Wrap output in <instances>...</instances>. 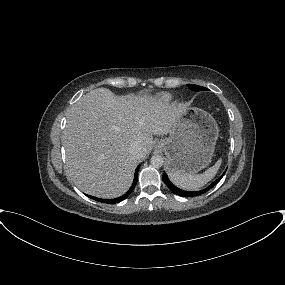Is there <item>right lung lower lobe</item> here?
Here are the masks:
<instances>
[{
    "label": "right lung lower lobe",
    "instance_id": "obj_1",
    "mask_svg": "<svg viewBox=\"0 0 285 285\" xmlns=\"http://www.w3.org/2000/svg\"><path fill=\"white\" fill-rule=\"evenodd\" d=\"M139 168H140V166H138L136 171H135L134 181H133V184H132L131 188L123 196L118 197L116 199H100V198L93 197V196H90V195H87V196L89 198H92V199H94L96 201H99V202H102V203H119V202L123 201L124 199H126L129 196V194L133 191L134 187L137 184V175H138Z\"/></svg>",
    "mask_w": 285,
    "mask_h": 285
}]
</instances>
